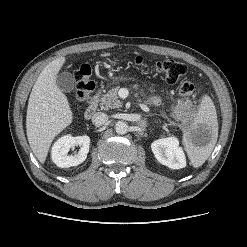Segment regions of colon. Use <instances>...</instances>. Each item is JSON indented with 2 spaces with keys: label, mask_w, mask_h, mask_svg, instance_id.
Instances as JSON below:
<instances>
[{
  "label": "colon",
  "mask_w": 247,
  "mask_h": 247,
  "mask_svg": "<svg viewBox=\"0 0 247 247\" xmlns=\"http://www.w3.org/2000/svg\"><path fill=\"white\" fill-rule=\"evenodd\" d=\"M134 64L137 67L146 68L152 73L161 75L171 84L178 82L187 72L185 64L172 59H165L148 65L142 58L136 57ZM90 74L91 70L87 65H82L75 71L74 78L77 87L74 94V102L83 103L88 100L91 91L94 89V83L90 79ZM193 91V82L188 78H184L180 83V94L182 96H190Z\"/></svg>",
  "instance_id": "5ec220e1"
}]
</instances>
